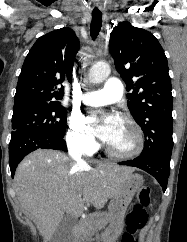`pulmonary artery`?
I'll return each mask as SVG.
<instances>
[{
    "label": "pulmonary artery",
    "mask_w": 187,
    "mask_h": 242,
    "mask_svg": "<svg viewBox=\"0 0 187 242\" xmlns=\"http://www.w3.org/2000/svg\"><path fill=\"white\" fill-rule=\"evenodd\" d=\"M123 85L117 78H109L102 89L86 92L83 102L90 106H104L121 99Z\"/></svg>",
    "instance_id": "pulmonary-artery-1"
}]
</instances>
